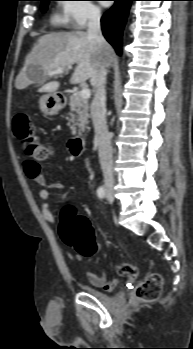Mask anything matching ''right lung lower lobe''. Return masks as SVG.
I'll return each mask as SVG.
<instances>
[{"label":"right lung lower lobe","instance_id":"obj_1","mask_svg":"<svg viewBox=\"0 0 193 349\" xmlns=\"http://www.w3.org/2000/svg\"><path fill=\"white\" fill-rule=\"evenodd\" d=\"M115 4L102 17V31L107 41L121 54V36L127 19L131 1L114 0Z\"/></svg>","mask_w":193,"mask_h":349}]
</instances>
